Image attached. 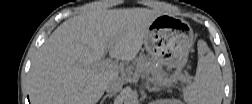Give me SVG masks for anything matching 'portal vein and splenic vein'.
Segmentation results:
<instances>
[{
  "instance_id": "obj_1",
  "label": "portal vein and splenic vein",
  "mask_w": 252,
  "mask_h": 104,
  "mask_svg": "<svg viewBox=\"0 0 252 104\" xmlns=\"http://www.w3.org/2000/svg\"><path fill=\"white\" fill-rule=\"evenodd\" d=\"M97 66L99 68H107V69H113V70H118V68H119L118 65L110 59L101 60V62L98 63ZM184 80L187 82H191V77L186 76V77H184ZM165 83H167V82H165ZM168 84H170V83H168Z\"/></svg>"
}]
</instances>
